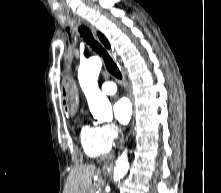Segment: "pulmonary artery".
Returning a JSON list of instances; mask_svg holds the SVG:
<instances>
[{
    "mask_svg": "<svg viewBox=\"0 0 221 193\" xmlns=\"http://www.w3.org/2000/svg\"><path fill=\"white\" fill-rule=\"evenodd\" d=\"M101 90L105 94L112 95L117 91V87L115 83L108 81L102 84Z\"/></svg>",
    "mask_w": 221,
    "mask_h": 193,
    "instance_id": "obj_1",
    "label": "pulmonary artery"
}]
</instances>
